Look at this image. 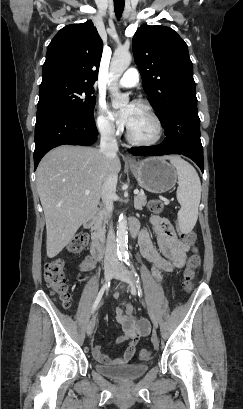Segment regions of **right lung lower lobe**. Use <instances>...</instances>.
Segmentation results:
<instances>
[{"label":"right lung lower lobe","mask_w":243,"mask_h":409,"mask_svg":"<svg viewBox=\"0 0 243 409\" xmlns=\"http://www.w3.org/2000/svg\"><path fill=\"white\" fill-rule=\"evenodd\" d=\"M93 117L49 112L37 117L35 125L34 169L52 148L70 145H92L97 140Z\"/></svg>","instance_id":"obj_1"}]
</instances>
